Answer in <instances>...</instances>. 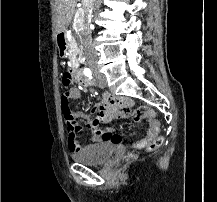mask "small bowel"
Instances as JSON below:
<instances>
[{"label":"small bowel","instance_id":"small-bowel-1","mask_svg":"<svg viewBox=\"0 0 217 202\" xmlns=\"http://www.w3.org/2000/svg\"><path fill=\"white\" fill-rule=\"evenodd\" d=\"M66 90H68L69 99L80 100L82 98V91L77 85H66ZM111 97L109 94H104L99 98L91 109L94 114L93 118H89L88 113L82 111H76L73 115L76 118L86 119V125L91 131L92 141L104 140L114 144H122L121 136L114 134L110 129H104L102 124L107 121H118V118L124 117L125 113L129 112L132 101H109ZM109 109L112 113H109ZM118 109H122V112L117 113ZM113 113H116V115L114 116ZM143 122L147 123L148 126L145 137L137 142L125 145L142 149L157 138L160 132L159 121L151 118V120H143ZM80 132H84V127H75V131H69V141H80ZM80 146V142H71V147Z\"/></svg>","mask_w":217,"mask_h":202}]
</instances>
